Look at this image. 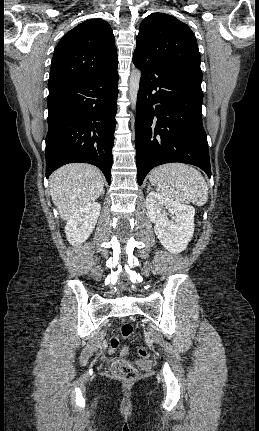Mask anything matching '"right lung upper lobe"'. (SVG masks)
Wrapping results in <instances>:
<instances>
[{
  "mask_svg": "<svg viewBox=\"0 0 259 431\" xmlns=\"http://www.w3.org/2000/svg\"><path fill=\"white\" fill-rule=\"evenodd\" d=\"M117 48L110 25L85 21L66 33L56 46L48 87L105 76L117 70Z\"/></svg>",
  "mask_w": 259,
  "mask_h": 431,
  "instance_id": "1",
  "label": "right lung upper lobe"
}]
</instances>
